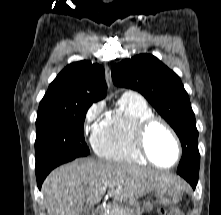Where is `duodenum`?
Masks as SVG:
<instances>
[{
  "instance_id": "obj_1",
  "label": "duodenum",
  "mask_w": 221,
  "mask_h": 215,
  "mask_svg": "<svg viewBox=\"0 0 221 215\" xmlns=\"http://www.w3.org/2000/svg\"><path fill=\"white\" fill-rule=\"evenodd\" d=\"M102 209H103V207H102V206H99V207H98V210H97V212H96L95 215H100V212H101Z\"/></svg>"
}]
</instances>
